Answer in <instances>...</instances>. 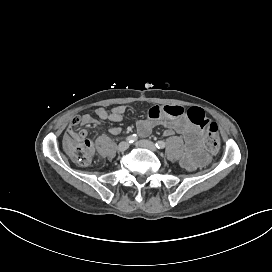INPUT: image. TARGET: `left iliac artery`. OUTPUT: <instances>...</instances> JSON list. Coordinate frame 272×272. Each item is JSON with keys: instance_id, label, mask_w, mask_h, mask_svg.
Instances as JSON below:
<instances>
[{"instance_id": "obj_1", "label": "left iliac artery", "mask_w": 272, "mask_h": 272, "mask_svg": "<svg viewBox=\"0 0 272 272\" xmlns=\"http://www.w3.org/2000/svg\"><path fill=\"white\" fill-rule=\"evenodd\" d=\"M155 145H156V147H157L158 149H163V148H165V146H166V144H165L164 141H157V142L155 143Z\"/></svg>"}]
</instances>
